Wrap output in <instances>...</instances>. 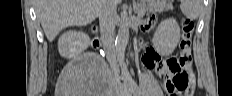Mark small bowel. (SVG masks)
Wrapping results in <instances>:
<instances>
[{
	"label": "small bowel",
	"mask_w": 232,
	"mask_h": 96,
	"mask_svg": "<svg viewBox=\"0 0 232 96\" xmlns=\"http://www.w3.org/2000/svg\"><path fill=\"white\" fill-rule=\"evenodd\" d=\"M146 16L147 20H158L157 11H148ZM146 25V26H145ZM142 28L145 30L147 27H155V22H146ZM142 35L145 33L143 30L140 32ZM136 43H146V38H136ZM142 64L147 71L155 70L159 75L164 78V68H167V63H164L160 59V55L156 51H148L142 58ZM186 71L190 77V85L192 89L195 87V80L191 65L187 66Z\"/></svg>",
	"instance_id": "small-bowel-1"
}]
</instances>
